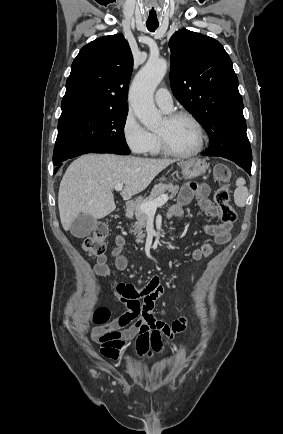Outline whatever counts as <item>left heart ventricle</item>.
<instances>
[{
	"mask_svg": "<svg viewBox=\"0 0 283 434\" xmlns=\"http://www.w3.org/2000/svg\"><path fill=\"white\" fill-rule=\"evenodd\" d=\"M157 132L163 134L169 146L178 152L192 151L197 145V132L194 125L185 118L168 121L164 118Z\"/></svg>",
	"mask_w": 283,
	"mask_h": 434,
	"instance_id": "obj_1",
	"label": "left heart ventricle"
}]
</instances>
